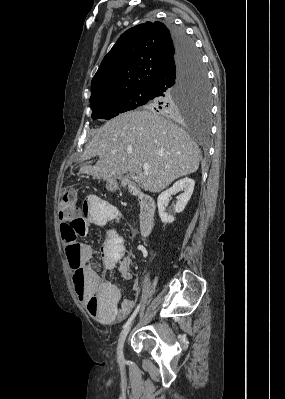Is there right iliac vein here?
Returning <instances> with one entry per match:
<instances>
[{
  "instance_id": "obj_1",
  "label": "right iliac vein",
  "mask_w": 285,
  "mask_h": 399,
  "mask_svg": "<svg viewBox=\"0 0 285 399\" xmlns=\"http://www.w3.org/2000/svg\"><path fill=\"white\" fill-rule=\"evenodd\" d=\"M131 325H132V323H130L128 327L123 329V331L121 332V334L119 336L118 345H117V354H118L119 360H121L124 357V351H123L124 343H125L128 333L131 329Z\"/></svg>"
}]
</instances>
